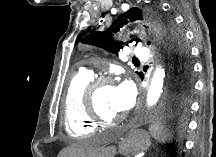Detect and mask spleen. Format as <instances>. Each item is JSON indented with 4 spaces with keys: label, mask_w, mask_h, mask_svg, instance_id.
<instances>
[{
    "label": "spleen",
    "mask_w": 216,
    "mask_h": 157,
    "mask_svg": "<svg viewBox=\"0 0 216 157\" xmlns=\"http://www.w3.org/2000/svg\"><path fill=\"white\" fill-rule=\"evenodd\" d=\"M151 136L160 143L171 141L170 134L166 131L165 127L160 123H154L150 126Z\"/></svg>",
    "instance_id": "3e777b00"
}]
</instances>
